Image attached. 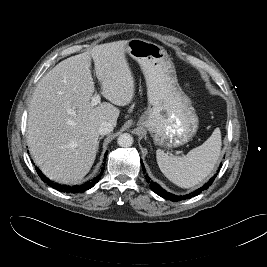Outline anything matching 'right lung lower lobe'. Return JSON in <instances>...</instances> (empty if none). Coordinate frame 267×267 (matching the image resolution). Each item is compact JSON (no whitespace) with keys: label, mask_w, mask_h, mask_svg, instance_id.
Wrapping results in <instances>:
<instances>
[{"label":"right lung lower lobe","mask_w":267,"mask_h":267,"mask_svg":"<svg viewBox=\"0 0 267 267\" xmlns=\"http://www.w3.org/2000/svg\"><path fill=\"white\" fill-rule=\"evenodd\" d=\"M105 156H107V152L105 153ZM105 169V167H103V169L101 170V173L98 177L94 178L93 180L88 181L87 183L79 186H66V185H60V184H56L53 183L52 181H50L45 175L42 174V172L36 168V171L38 173V175L41 177V179L47 183L49 186L53 187L56 190H59L61 192H66V193H78V192H84L90 188H92L100 179L103 170Z\"/></svg>","instance_id":"98d812e1"}]
</instances>
